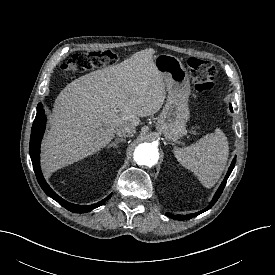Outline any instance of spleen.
I'll list each match as a JSON object with an SVG mask.
<instances>
[{"label": "spleen", "mask_w": 275, "mask_h": 275, "mask_svg": "<svg viewBox=\"0 0 275 275\" xmlns=\"http://www.w3.org/2000/svg\"><path fill=\"white\" fill-rule=\"evenodd\" d=\"M178 162L193 172L199 181L211 188L225 169L229 146L227 137L220 130L206 134L196 143L174 151Z\"/></svg>", "instance_id": "3e777b00"}]
</instances>
